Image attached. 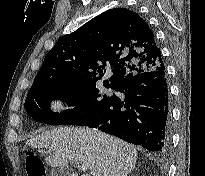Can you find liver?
I'll list each match as a JSON object with an SVG mask.
<instances>
[{"label":"liver","mask_w":205,"mask_h":176,"mask_svg":"<svg viewBox=\"0 0 205 176\" xmlns=\"http://www.w3.org/2000/svg\"><path fill=\"white\" fill-rule=\"evenodd\" d=\"M34 148H48L53 154L45 161L54 167L69 162L85 165L89 175L128 176L136 166V149L111 135L88 128L58 127L26 141Z\"/></svg>","instance_id":"1"}]
</instances>
